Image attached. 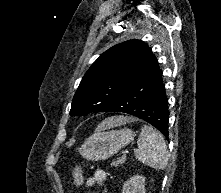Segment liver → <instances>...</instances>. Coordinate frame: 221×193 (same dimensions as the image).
Returning a JSON list of instances; mask_svg holds the SVG:
<instances>
[{"label":"liver","instance_id":"1","mask_svg":"<svg viewBox=\"0 0 221 193\" xmlns=\"http://www.w3.org/2000/svg\"><path fill=\"white\" fill-rule=\"evenodd\" d=\"M131 120H132L131 118L123 117V116H120V117H112V118H109V119L103 121V122L98 126V128L108 129V128H112V127H115V126H119V125L125 124L126 122H129V121H131Z\"/></svg>","mask_w":221,"mask_h":193}]
</instances>
